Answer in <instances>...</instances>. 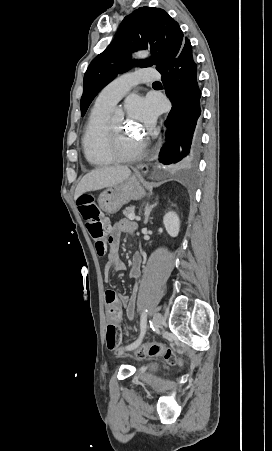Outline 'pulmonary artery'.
Here are the masks:
<instances>
[{
	"mask_svg": "<svg viewBox=\"0 0 272 451\" xmlns=\"http://www.w3.org/2000/svg\"><path fill=\"white\" fill-rule=\"evenodd\" d=\"M155 68L151 65L141 66L139 70L130 69L128 74L120 76L107 86L97 97L96 103L100 105H113L127 95L130 88L138 83L144 85L158 79Z\"/></svg>",
	"mask_w": 272,
	"mask_h": 451,
	"instance_id": "obj_1",
	"label": "pulmonary artery"
}]
</instances>
